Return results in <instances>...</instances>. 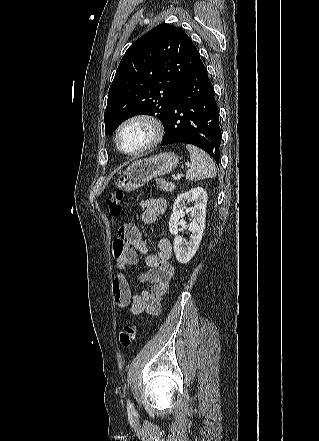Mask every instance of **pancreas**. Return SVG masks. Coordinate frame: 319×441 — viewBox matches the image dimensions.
<instances>
[{
    "instance_id": "obj_1",
    "label": "pancreas",
    "mask_w": 319,
    "mask_h": 441,
    "mask_svg": "<svg viewBox=\"0 0 319 441\" xmlns=\"http://www.w3.org/2000/svg\"><path fill=\"white\" fill-rule=\"evenodd\" d=\"M156 182L158 186L166 192H172L176 188V186L173 183L166 182L163 179H157Z\"/></svg>"
}]
</instances>
